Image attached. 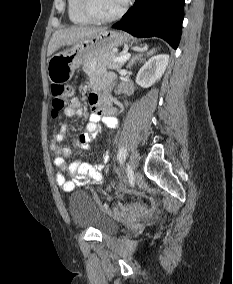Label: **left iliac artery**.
<instances>
[{"label":"left iliac artery","mask_w":233,"mask_h":284,"mask_svg":"<svg viewBox=\"0 0 233 284\" xmlns=\"http://www.w3.org/2000/svg\"><path fill=\"white\" fill-rule=\"evenodd\" d=\"M127 156V149L124 147H120L117 158L120 163H123Z\"/></svg>","instance_id":"1"}]
</instances>
